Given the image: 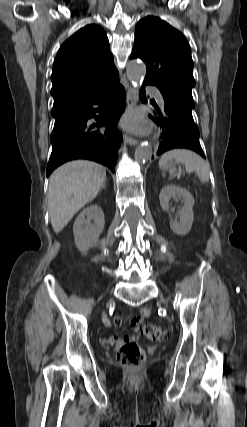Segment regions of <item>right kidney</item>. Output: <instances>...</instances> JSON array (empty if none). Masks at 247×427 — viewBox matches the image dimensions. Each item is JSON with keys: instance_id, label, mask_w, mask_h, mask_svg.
<instances>
[{"instance_id": "1", "label": "right kidney", "mask_w": 247, "mask_h": 427, "mask_svg": "<svg viewBox=\"0 0 247 427\" xmlns=\"http://www.w3.org/2000/svg\"><path fill=\"white\" fill-rule=\"evenodd\" d=\"M104 224V213L98 205L88 206L77 216L73 233L76 247L82 254L86 255L90 248L98 244Z\"/></svg>"}]
</instances>
